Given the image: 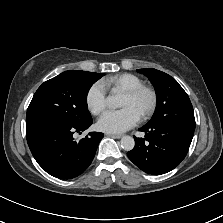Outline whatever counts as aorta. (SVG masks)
Masks as SVG:
<instances>
[{"mask_svg":"<svg viewBox=\"0 0 223 223\" xmlns=\"http://www.w3.org/2000/svg\"><path fill=\"white\" fill-rule=\"evenodd\" d=\"M106 104L109 108H118L122 106V99L117 93H113L106 98ZM120 143L125 151L132 150L135 145V141L131 136H123Z\"/></svg>","mask_w":223,"mask_h":223,"instance_id":"obj_1","label":"aorta"}]
</instances>
